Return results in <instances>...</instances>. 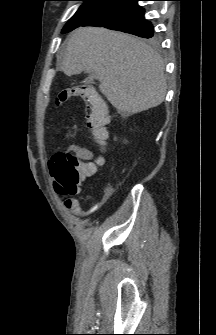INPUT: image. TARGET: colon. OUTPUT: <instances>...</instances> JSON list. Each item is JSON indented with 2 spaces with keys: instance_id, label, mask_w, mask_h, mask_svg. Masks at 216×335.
<instances>
[{
  "instance_id": "1",
  "label": "colon",
  "mask_w": 216,
  "mask_h": 335,
  "mask_svg": "<svg viewBox=\"0 0 216 335\" xmlns=\"http://www.w3.org/2000/svg\"><path fill=\"white\" fill-rule=\"evenodd\" d=\"M72 97H81L86 102L85 120L93 135L103 140L108 131V110L107 106L95 95L94 91L85 84H77L69 89H63L56 103H63ZM94 151V158H105L107 145L99 142ZM103 159H94L80 165L76 155L68 148L56 153L50 160L49 166L54 178V187L57 193L64 196H73L79 192L80 185L85 184L84 178H94L98 166H103ZM67 207L75 204L67 199Z\"/></svg>"
}]
</instances>
